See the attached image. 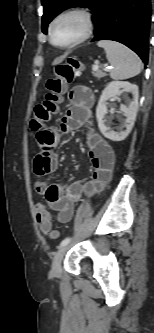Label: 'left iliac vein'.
Wrapping results in <instances>:
<instances>
[{"label": "left iliac vein", "instance_id": "1", "mask_svg": "<svg viewBox=\"0 0 154 333\" xmlns=\"http://www.w3.org/2000/svg\"><path fill=\"white\" fill-rule=\"evenodd\" d=\"M68 248V244L61 246L53 258L51 273L55 277H59L61 274V262Z\"/></svg>", "mask_w": 154, "mask_h": 333}]
</instances>
